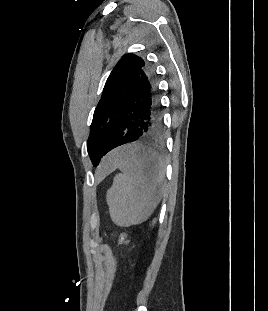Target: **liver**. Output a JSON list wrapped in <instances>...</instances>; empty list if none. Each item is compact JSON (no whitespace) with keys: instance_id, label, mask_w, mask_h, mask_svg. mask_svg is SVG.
I'll return each instance as SVG.
<instances>
[{"instance_id":"1","label":"liver","mask_w":268,"mask_h":311,"mask_svg":"<svg viewBox=\"0 0 268 311\" xmlns=\"http://www.w3.org/2000/svg\"><path fill=\"white\" fill-rule=\"evenodd\" d=\"M112 156H113V153L108 156L107 160L108 161L111 160Z\"/></svg>"}]
</instances>
